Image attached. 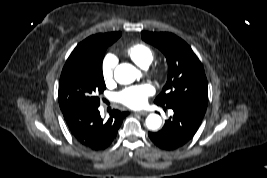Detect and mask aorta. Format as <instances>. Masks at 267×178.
I'll return each instance as SVG.
<instances>
[{
	"label": "aorta",
	"instance_id": "1",
	"mask_svg": "<svg viewBox=\"0 0 267 178\" xmlns=\"http://www.w3.org/2000/svg\"><path fill=\"white\" fill-rule=\"evenodd\" d=\"M139 71L129 63H123L116 67L114 72L115 80L120 84H130L134 82ZM162 124V119L157 114H149L146 118V126L150 130H157Z\"/></svg>",
	"mask_w": 267,
	"mask_h": 178
}]
</instances>
